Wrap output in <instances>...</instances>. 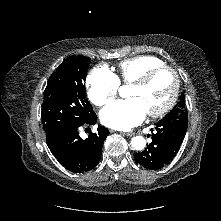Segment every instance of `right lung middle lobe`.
Instances as JSON below:
<instances>
[{
    "mask_svg": "<svg viewBox=\"0 0 221 221\" xmlns=\"http://www.w3.org/2000/svg\"><path fill=\"white\" fill-rule=\"evenodd\" d=\"M89 62L85 56H70L50 76L41 113L46 135L83 123L94 114L84 86Z\"/></svg>",
    "mask_w": 221,
    "mask_h": 221,
    "instance_id": "dd1d6c3e",
    "label": "right lung middle lobe"
}]
</instances>
